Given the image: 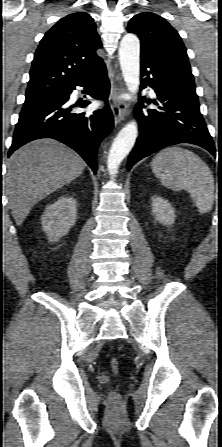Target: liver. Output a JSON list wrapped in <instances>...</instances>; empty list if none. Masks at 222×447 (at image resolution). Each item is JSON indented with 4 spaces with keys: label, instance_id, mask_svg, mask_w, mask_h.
I'll return each mask as SVG.
<instances>
[{
    "label": "liver",
    "instance_id": "obj_1",
    "mask_svg": "<svg viewBox=\"0 0 222 447\" xmlns=\"http://www.w3.org/2000/svg\"><path fill=\"white\" fill-rule=\"evenodd\" d=\"M84 160L53 139L32 141L7 161L6 194L12 216L20 226L35 204L79 177Z\"/></svg>",
    "mask_w": 222,
    "mask_h": 447
}]
</instances>
